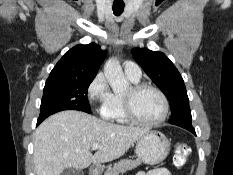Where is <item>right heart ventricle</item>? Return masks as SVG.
Masks as SVG:
<instances>
[{"mask_svg":"<svg viewBox=\"0 0 233 175\" xmlns=\"http://www.w3.org/2000/svg\"><path fill=\"white\" fill-rule=\"evenodd\" d=\"M131 81L134 83L137 82L134 80ZM101 116L105 120L118 124H128L129 121L125 116L123 109V95L119 93H112L110 101L101 108Z\"/></svg>","mask_w":233,"mask_h":175,"instance_id":"obj_1","label":"right heart ventricle"}]
</instances>
